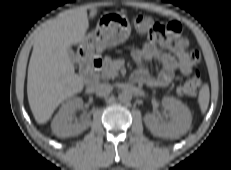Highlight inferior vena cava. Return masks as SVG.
<instances>
[{"label": "inferior vena cava", "instance_id": "obj_1", "mask_svg": "<svg viewBox=\"0 0 231 170\" xmlns=\"http://www.w3.org/2000/svg\"><path fill=\"white\" fill-rule=\"evenodd\" d=\"M111 91H112V86L108 83H102L96 87V94L98 96H107L110 94Z\"/></svg>", "mask_w": 231, "mask_h": 170}]
</instances>
